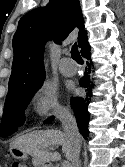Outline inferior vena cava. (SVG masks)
Instances as JSON below:
<instances>
[{
    "instance_id": "inferior-vena-cava-1",
    "label": "inferior vena cava",
    "mask_w": 125,
    "mask_h": 167,
    "mask_svg": "<svg viewBox=\"0 0 125 167\" xmlns=\"http://www.w3.org/2000/svg\"><path fill=\"white\" fill-rule=\"evenodd\" d=\"M59 117L62 123V127L68 135L73 146L70 167H80L79 153L81 148V137L78 131L76 119L67 109H63L60 112Z\"/></svg>"
}]
</instances>
